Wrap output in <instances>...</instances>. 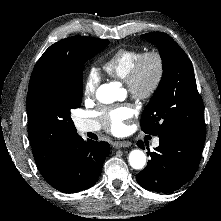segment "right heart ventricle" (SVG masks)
I'll use <instances>...</instances> for the list:
<instances>
[{"label":"right heart ventricle","instance_id":"e07e8e85","mask_svg":"<svg viewBox=\"0 0 221 221\" xmlns=\"http://www.w3.org/2000/svg\"><path fill=\"white\" fill-rule=\"evenodd\" d=\"M142 54L143 52L139 49H119L103 63V68L111 77L126 82Z\"/></svg>","mask_w":221,"mask_h":221}]
</instances>
